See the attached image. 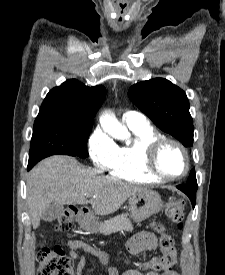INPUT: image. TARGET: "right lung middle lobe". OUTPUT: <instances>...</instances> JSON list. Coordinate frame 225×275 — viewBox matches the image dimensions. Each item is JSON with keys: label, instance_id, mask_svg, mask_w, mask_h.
<instances>
[{"label": "right lung middle lobe", "instance_id": "dd1d6c3e", "mask_svg": "<svg viewBox=\"0 0 225 275\" xmlns=\"http://www.w3.org/2000/svg\"><path fill=\"white\" fill-rule=\"evenodd\" d=\"M94 122L67 118L35 120L28 167L54 154L86 158L87 140Z\"/></svg>", "mask_w": 225, "mask_h": 275}]
</instances>
